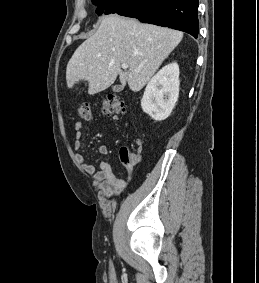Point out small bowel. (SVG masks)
Segmentation results:
<instances>
[{
  "mask_svg": "<svg viewBox=\"0 0 259 283\" xmlns=\"http://www.w3.org/2000/svg\"><path fill=\"white\" fill-rule=\"evenodd\" d=\"M75 130V141L74 148L80 150L82 148V137H83V125L80 122L74 124ZM99 153L103 156L109 154V149L107 146L102 145L99 147ZM76 161L80 168L87 174L91 175L94 182L97 185L99 192L110 197L116 194H120L125 190L128 184V180L119 177L112 169L111 165L107 162H101L99 168L94 165L87 163L84 155L82 153H76ZM125 165V164H124ZM127 173L131 175L134 165H125Z\"/></svg>",
  "mask_w": 259,
  "mask_h": 283,
  "instance_id": "obj_1",
  "label": "small bowel"
}]
</instances>
